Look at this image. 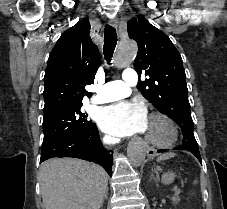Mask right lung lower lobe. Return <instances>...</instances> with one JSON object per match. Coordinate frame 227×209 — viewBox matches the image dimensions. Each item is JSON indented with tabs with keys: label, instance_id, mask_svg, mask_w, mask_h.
I'll return each mask as SVG.
<instances>
[{
	"label": "right lung lower lobe",
	"instance_id": "obj_1",
	"mask_svg": "<svg viewBox=\"0 0 227 209\" xmlns=\"http://www.w3.org/2000/svg\"><path fill=\"white\" fill-rule=\"evenodd\" d=\"M53 157H73L101 165L112 175V156L106 151L99 138L96 125L89 130L71 133L42 144L40 163Z\"/></svg>",
	"mask_w": 227,
	"mask_h": 209
}]
</instances>
